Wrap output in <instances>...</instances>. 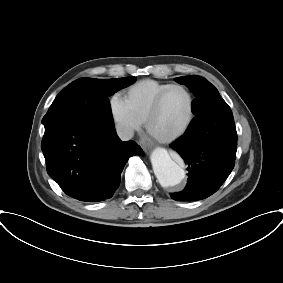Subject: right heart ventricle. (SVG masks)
Listing matches in <instances>:
<instances>
[{
	"label": "right heart ventricle",
	"mask_w": 283,
	"mask_h": 283,
	"mask_svg": "<svg viewBox=\"0 0 283 283\" xmlns=\"http://www.w3.org/2000/svg\"><path fill=\"white\" fill-rule=\"evenodd\" d=\"M169 85L171 83L144 79L127 88L122 98L134 117L143 123L157 95Z\"/></svg>",
	"instance_id": "e07e8e85"
}]
</instances>
